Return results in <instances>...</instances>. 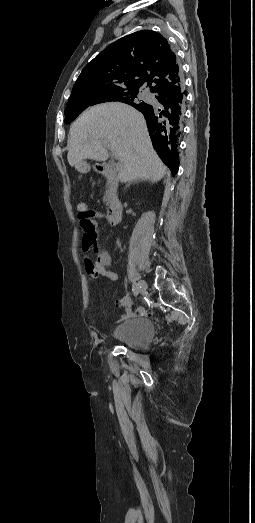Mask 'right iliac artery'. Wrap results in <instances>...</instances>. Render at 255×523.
<instances>
[{
  "label": "right iliac artery",
  "mask_w": 255,
  "mask_h": 523,
  "mask_svg": "<svg viewBox=\"0 0 255 523\" xmlns=\"http://www.w3.org/2000/svg\"><path fill=\"white\" fill-rule=\"evenodd\" d=\"M132 291H133L134 295H137L139 293V291H140V285L137 284V283H133Z\"/></svg>",
  "instance_id": "1"
}]
</instances>
